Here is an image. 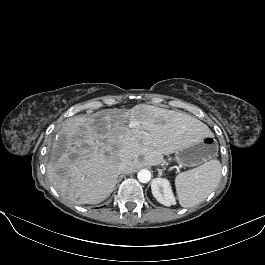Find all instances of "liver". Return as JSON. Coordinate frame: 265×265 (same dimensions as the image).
Wrapping results in <instances>:
<instances>
[{
    "label": "liver",
    "instance_id": "1",
    "mask_svg": "<svg viewBox=\"0 0 265 265\" xmlns=\"http://www.w3.org/2000/svg\"><path fill=\"white\" fill-rule=\"evenodd\" d=\"M209 128L184 113L138 104L66 119L47 164L52 186L75 204H98L113 192L119 164L126 172L155 166L186 142L209 135Z\"/></svg>",
    "mask_w": 265,
    "mask_h": 265
}]
</instances>
